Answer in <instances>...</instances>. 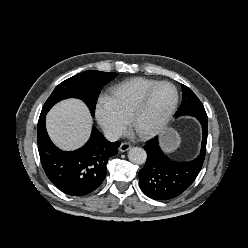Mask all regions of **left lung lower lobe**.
I'll return each mask as SVG.
<instances>
[{"label": "left lung lower lobe", "mask_w": 248, "mask_h": 248, "mask_svg": "<svg viewBox=\"0 0 248 248\" xmlns=\"http://www.w3.org/2000/svg\"><path fill=\"white\" fill-rule=\"evenodd\" d=\"M202 125L203 140L199 156L188 162L170 160L161 150L158 138L147 142V161L139 171V185L144 194L155 200L172 199L184 192L199 174L206 153L208 117L194 116Z\"/></svg>", "instance_id": "1"}]
</instances>
